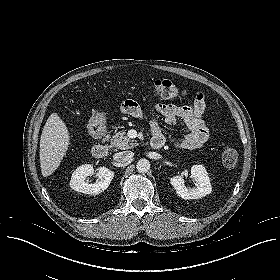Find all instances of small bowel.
<instances>
[{"instance_id":"obj_1","label":"small bowel","mask_w":280,"mask_h":280,"mask_svg":"<svg viewBox=\"0 0 280 280\" xmlns=\"http://www.w3.org/2000/svg\"><path fill=\"white\" fill-rule=\"evenodd\" d=\"M131 105L122 111L132 117L142 118L143 110L134 101H128ZM206 108V98L203 91L195 93L192 104L190 105H172L157 104L154 109L163 117L165 123L176 125L179 121H183L188 129L186 135L182 138H174L172 141L175 145L182 149L194 150L202 147L209 139V129L203 119V113ZM151 129L154 137H161L165 140L163 132L157 120L151 122Z\"/></svg>"}]
</instances>
